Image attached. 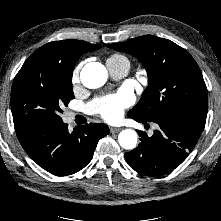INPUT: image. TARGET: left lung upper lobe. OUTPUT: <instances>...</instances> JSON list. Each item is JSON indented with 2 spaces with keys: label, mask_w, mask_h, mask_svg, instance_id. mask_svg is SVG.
I'll return each mask as SVG.
<instances>
[{
  "label": "left lung upper lobe",
  "mask_w": 221,
  "mask_h": 221,
  "mask_svg": "<svg viewBox=\"0 0 221 221\" xmlns=\"http://www.w3.org/2000/svg\"><path fill=\"white\" fill-rule=\"evenodd\" d=\"M108 46L136 57L148 73V87L128 115L146 120L182 113L207 117V88L197 63L185 49L153 35Z\"/></svg>",
  "instance_id": "left-lung-upper-lobe-1"
}]
</instances>
